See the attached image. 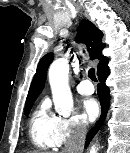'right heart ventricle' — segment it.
Wrapping results in <instances>:
<instances>
[{
    "label": "right heart ventricle",
    "instance_id": "1",
    "mask_svg": "<svg viewBox=\"0 0 130 153\" xmlns=\"http://www.w3.org/2000/svg\"><path fill=\"white\" fill-rule=\"evenodd\" d=\"M60 117L50 109V102L44 98L37 105L29 120V136L33 145L44 151L56 150Z\"/></svg>",
    "mask_w": 130,
    "mask_h": 153
}]
</instances>
